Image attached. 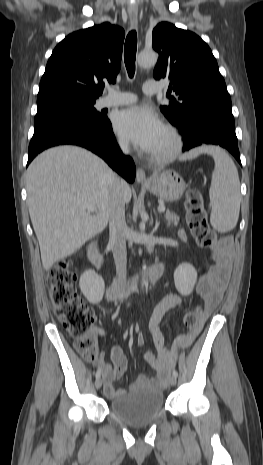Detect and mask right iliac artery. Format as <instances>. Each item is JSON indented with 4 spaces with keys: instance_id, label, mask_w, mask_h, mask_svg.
<instances>
[{
    "instance_id": "obj_1",
    "label": "right iliac artery",
    "mask_w": 263,
    "mask_h": 465,
    "mask_svg": "<svg viewBox=\"0 0 263 465\" xmlns=\"http://www.w3.org/2000/svg\"><path fill=\"white\" fill-rule=\"evenodd\" d=\"M95 376H96V378H99L101 376V370L100 369L97 370Z\"/></svg>"
}]
</instances>
